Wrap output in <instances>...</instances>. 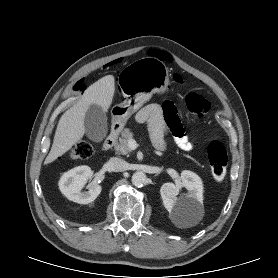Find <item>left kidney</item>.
Instances as JSON below:
<instances>
[{
	"label": "left kidney",
	"mask_w": 278,
	"mask_h": 278,
	"mask_svg": "<svg viewBox=\"0 0 278 278\" xmlns=\"http://www.w3.org/2000/svg\"><path fill=\"white\" fill-rule=\"evenodd\" d=\"M181 187H185L188 193L177 198ZM160 194L165 208L175 221H192L203 211V184L194 172L182 171L181 181L176 185L171 182L164 183L160 188Z\"/></svg>",
	"instance_id": "left-kidney-1"
}]
</instances>
